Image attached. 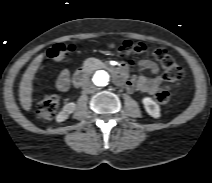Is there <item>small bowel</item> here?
I'll return each instance as SVG.
<instances>
[{"instance_id":"small-bowel-1","label":"small bowel","mask_w":212,"mask_h":183,"mask_svg":"<svg viewBox=\"0 0 212 183\" xmlns=\"http://www.w3.org/2000/svg\"><path fill=\"white\" fill-rule=\"evenodd\" d=\"M133 61H129L125 63L121 70V79L117 81L119 84H122L126 87L129 92H133L134 90H140L142 92L148 93L150 95H154L159 89L163 87L162 78L158 76L159 67L156 63L150 60H140L137 62V66L141 70H146L151 73L152 76H144L140 75L136 79L130 80L127 78L128 68L133 65ZM71 85V77L68 70H63L56 81V86L59 91L66 92L69 90Z\"/></svg>"}]
</instances>
